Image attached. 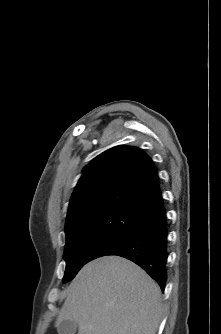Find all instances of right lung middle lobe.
<instances>
[{
	"label": "right lung middle lobe",
	"instance_id": "dd1d6c3e",
	"mask_svg": "<svg viewBox=\"0 0 221 334\" xmlns=\"http://www.w3.org/2000/svg\"><path fill=\"white\" fill-rule=\"evenodd\" d=\"M140 215L126 212L102 213L76 224L66 233L62 282L70 281L87 262L113 250L136 225Z\"/></svg>",
	"mask_w": 221,
	"mask_h": 334
}]
</instances>
